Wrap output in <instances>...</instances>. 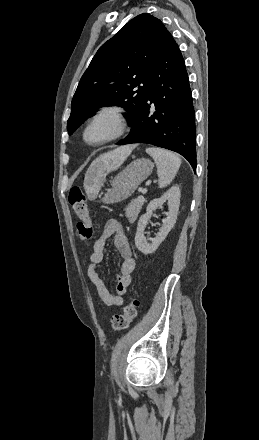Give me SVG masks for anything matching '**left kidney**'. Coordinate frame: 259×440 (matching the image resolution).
<instances>
[{
  "mask_svg": "<svg viewBox=\"0 0 259 440\" xmlns=\"http://www.w3.org/2000/svg\"><path fill=\"white\" fill-rule=\"evenodd\" d=\"M180 196V188L178 186H173L159 198L153 199L148 204L146 208V213L142 215L138 221L137 231L135 235V245L140 252L145 255L152 254L164 241V239L176 223L180 205ZM166 201L168 203V212L166 213L167 217L163 220V225L160 227L156 237L153 238L151 242H148L147 238L144 235V231L148 224V221L151 218L153 211L162 206Z\"/></svg>",
  "mask_w": 259,
  "mask_h": 440,
  "instance_id": "5707ae66",
  "label": "left kidney"
}]
</instances>
